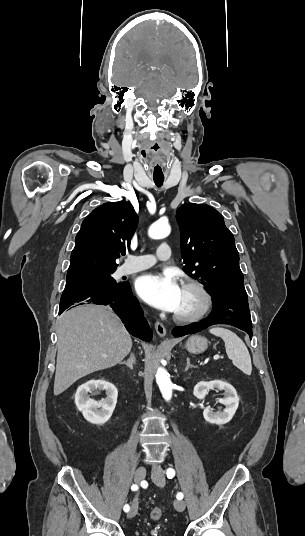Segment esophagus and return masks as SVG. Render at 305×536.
Wrapping results in <instances>:
<instances>
[{
    "mask_svg": "<svg viewBox=\"0 0 305 536\" xmlns=\"http://www.w3.org/2000/svg\"><path fill=\"white\" fill-rule=\"evenodd\" d=\"M155 329L159 336L164 337L166 335L165 326L161 322L157 321L155 323Z\"/></svg>",
    "mask_w": 305,
    "mask_h": 536,
    "instance_id": "1",
    "label": "esophagus"
}]
</instances>
